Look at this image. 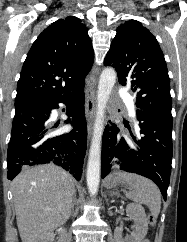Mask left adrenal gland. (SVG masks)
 <instances>
[{"instance_id": "1", "label": "left adrenal gland", "mask_w": 187, "mask_h": 242, "mask_svg": "<svg viewBox=\"0 0 187 242\" xmlns=\"http://www.w3.org/2000/svg\"><path fill=\"white\" fill-rule=\"evenodd\" d=\"M108 193H109V195H110V196L117 195V193H116V192H114V191H108Z\"/></svg>"}]
</instances>
